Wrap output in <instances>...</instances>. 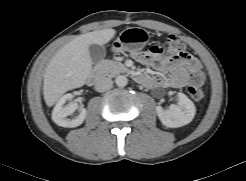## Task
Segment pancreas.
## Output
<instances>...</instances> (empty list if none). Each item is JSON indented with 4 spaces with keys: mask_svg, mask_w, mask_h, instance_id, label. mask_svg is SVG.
I'll list each match as a JSON object with an SVG mask.
<instances>
[{
    "mask_svg": "<svg viewBox=\"0 0 246 181\" xmlns=\"http://www.w3.org/2000/svg\"><path fill=\"white\" fill-rule=\"evenodd\" d=\"M98 69L102 74L112 77L128 71V69L121 62L109 59L101 61Z\"/></svg>",
    "mask_w": 246,
    "mask_h": 181,
    "instance_id": "pancreas-1",
    "label": "pancreas"
}]
</instances>
